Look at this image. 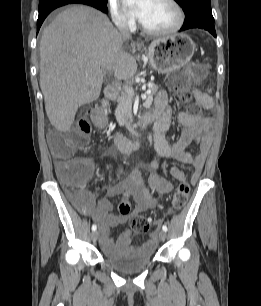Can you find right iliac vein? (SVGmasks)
<instances>
[{"label": "right iliac vein", "mask_w": 261, "mask_h": 306, "mask_svg": "<svg viewBox=\"0 0 261 306\" xmlns=\"http://www.w3.org/2000/svg\"><path fill=\"white\" fill-rule=\"evenodd\" d=\"M98 237H99L98 231L95 230V231H93V232L91 233V239H92L93 242H96L97 239H98Z\"/></svg>", "instance_id": "obj_1"}]
</instances>
